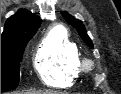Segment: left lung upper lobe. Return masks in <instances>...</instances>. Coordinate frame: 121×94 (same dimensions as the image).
<instances>
[{"label":"left lung upper lobe","instance_id":"5c2ea615","mask_svg":"<svg viewBox=\"0 0 121 94\" xmlns=\"http://www.w3.org/2000/svg\"><path fill=\"white\" fill-rule=\"evenodd\" d=\"M63 17L66 19V21L72 25L73 27L76 28V30L78 31L79 35L81 36V38L83 39V41L91 48H93V44L91 39L89 38V36L87 35L86 29L82 23V21L75 19L74 17H72L71 15H68L65 12H61Z\"/></svg>","mask_w":121,"mask_h":94}]
</instances>
